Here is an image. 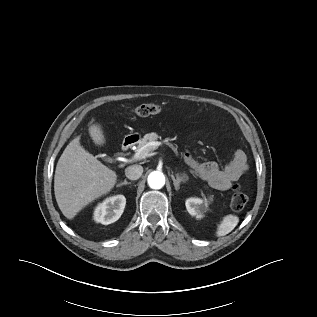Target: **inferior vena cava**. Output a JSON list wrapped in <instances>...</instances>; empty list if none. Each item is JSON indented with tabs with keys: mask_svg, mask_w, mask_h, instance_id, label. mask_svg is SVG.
<instances>
[{
	"mask_svg": "<svg viewBox=\"0 0 317 317\" xmlns=\"http://www.w3.org/2000/svg\"><path fill=\"white\" fill-rule=\"evenodd\" d=\"M143 173V167L140 165H131L125 169V175L130 180H137Z\"/></svg>",
	"mask_w": 317,
	"mask_h": 317,
	"instance_id": "inferior-vena-cava-1",
	"label": "inferior vena cava"
}]
</instances>
